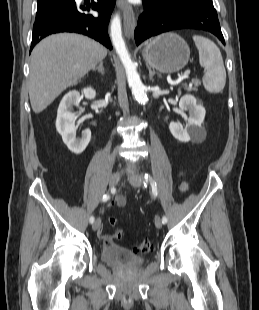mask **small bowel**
<instances>
[{
  "label": "small bowel",
  "mask_w": 259,
  "mask_h": 310,
  "mask_svg": "<svg viewBox=\"0 0 259 310\" xmlns=\"http://www.w3.org/2000/svg\"><path fill=\"white\" fill-rule=\"evenodd\" d=\"M179 176L184 178L185 174L180 173ZM188 186H189V183L186 180L182 181L179 186L180 192L182 193L186 192L188 189ZM113 205L122 207L125 205V199L122 196H117L113 201ZM97 234H98V237L104 242L105 245L113 244V240H114L113 236L104 234L102 226H99Z\"/></svg>",
  "instance_id": "1"
}]
</instances>
